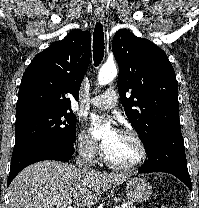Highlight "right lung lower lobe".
I'll list each match as a JSON object with an SVG mask.
<instances>
[{
  "label": "right lung lower lobe",
  "instance_id": "98d812e1",
  "mask_svg": "<svg viewBox=\"0 0 199 208\" xmlns=\"http://www.w3.org/2000/svg\"><path fill=\"white\" fill-rule=\"evenodd\" d=\"M74 154V148L68 149L55 143H37L24 146L12 155L8 185L26 166L42 160L68 161Z\"/></svg>",
  "mask_w": 199,
  "mask_h": 208
}]
</instances>
